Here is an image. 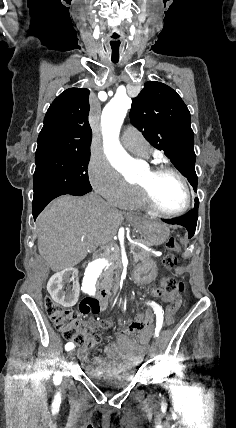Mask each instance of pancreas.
<instances>
[{
    "label": "pancreas",
    "instance_id": "1",
    "mask_svg": "<svg viewBox=\"0 0 236 428\" xmlns=\"http://www.w3.org/2000/svg\"><path fill=\"white\" fill-rule=\"evenodd\" d=\"M135 242H139V244H143V240H135ZM131 254H133L134 262H144V260H147V258H150V256H153L152 252H147V250H144V248H140V246H136V244H129ZM104 258H109V260H115L117 264H119L120 260V254L119 252H111V254H102ZM111 270V268H110ZM110 272L107 270V272H104L102 274L101 278H104L103 284H105Z\"/></svg>",
    "mask_w": 236,
    "mask_h": 428
}]
</instances>
